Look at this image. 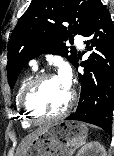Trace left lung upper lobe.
Wrapping results in <instances>:
<instances>
[{"label":"left lung upper lobe","instance_id":"5c2ea615","mask_svg":"<svg viewBox=\"0 0 114 156\" xmlns=\"http://www.w3.org/2000/svg\"><path fill=\"white\" fill-rule=\"evenodd\" d=\"M100 0H32L10 38L7 73L11 88L26 63L43 54L66 57L74 65L77 52L65 44L72 33L82 35ZM68 22L69 27L62 23Z\"/></svg>","mask_w":114,"mask_h":156}]
</instances>
